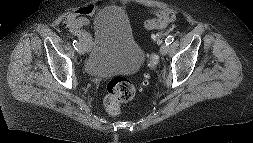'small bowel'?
Masks as SVG:
<instances>
[{
	"label": "small bowel",
	"instance_id": "small-bowel-1",
	"mask_svg": "<svg viewBox=\"0 0 253 143\" xmlns=\"http://www.w3.org/2000/svg\"><path fill=\"white\" fill-rule=\"evenodd\" d=\"M98 7V3H89L79 7L74 12L70 13L64 22L65 27L78 37L80 42L86 47L91 44V36L87 31V26L90 23V17L94 14ZM151 13L155 16L154 19L147 20L144 23L145 29H161L174 22L177 13L171 8H157L151 10ZM150 21H156L158 25L154 28L148 27Z\"/></svg>",
	"mask_w": 253,
	"mask_h": 143
}]
</instances>
